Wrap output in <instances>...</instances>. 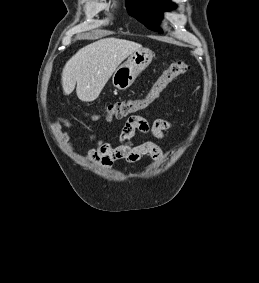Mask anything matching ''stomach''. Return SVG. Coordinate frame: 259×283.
I'll list each match as a JSON object with an SVG mask.
<instances>
[{
  "label": "stomach",
  "instance_id": "obj_1",
  "mask_svg": "<svg viewBox=\"0 0 259 283\" xmlns=\"http://www.w3.org/2000/svg\"><path fill=\"white\" fill-rule=\"evenodd\" d=\"M152 58V52L146 48L131 53L127 61L115 70L112 76L113 85L119 90L130 87L137 76L151 63Z\"/></svg>",
  "mask_w": 259,
  "mask_h": 283
}]
</instances>
